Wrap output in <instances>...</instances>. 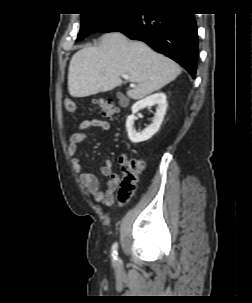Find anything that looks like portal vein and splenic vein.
I'll use <instances>...</instances> for the list:
<instances>
[{
	"instance_id": "obj_1",
	"label": "portal vein and splenic vein",
	"mask_w": 252,
	"mask_h": 303,
	"mask_svg": "<svg viewBox=\"0 0 252 303\" xmlns=\"http://www.w3.org/2000/svg\"><path fill=\"white\" fill-rule=\"evenodd\" d=\"M122 77L124 78V79H126V80H128V75H122ZM131 87H136V85L135 84H131Z\"/></svg>"
}]
</instances>
